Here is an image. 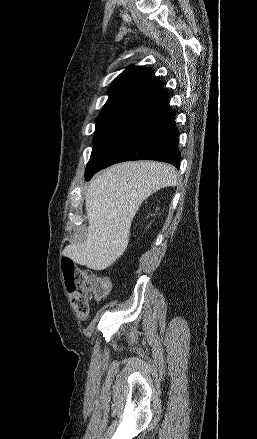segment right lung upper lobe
Segmentation results:
<instances>
[{"instance_id": "cb5924a9", "label": "right lung upper lobe", "mask_w": 257, "mask_h": 439, "mask_svg": "<svg viewBox=\"0 0 257 439\" xmlns=\"http://www.w3.org/2000/svg\"><path fill=\"white\" fill-rule=\"evenodd\" d=\"M99 118L132 119L168 95L150 68L131 66L110 85Z\"/></svg>"}]
</instances>
